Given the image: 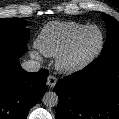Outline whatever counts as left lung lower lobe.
<instances>
[{"mask_svg":"<svg viewBox=\"0 0 119 119\" xmlns=\"http://www.w3.org/2000/svg\"><path fill=\"white\" fill-rule=\"evenodd\" d=\"M56 119H119V59L104 66L93 61L60 80Z\"/></svg>","mask_w":119,"mask_h":119,"instance_id":"left-lung-lower-lobe-1","label":"left lung lower lobe"}]
</instances>
